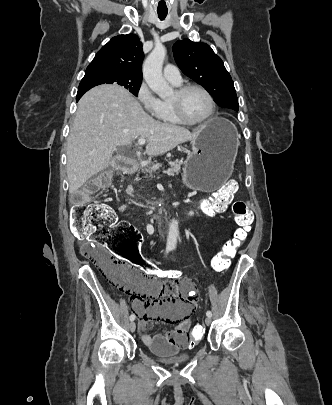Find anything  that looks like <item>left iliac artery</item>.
<instances>
[{"label":"left iliac artery","instance_id":"left-iliac-artery-1","mask_svg":"<svg viewBox=\"0 0 332 405\" xmlns=\"http://www.w3.org/2000/svg\"><path fill=\"white\" fill-rule=\"evenodd\" d=\"M206 316H207V317H211V316H212V312L208 310V311L206 312Z\"/></svg>","mask_w":332,"mask_h":405}]
</instances>
